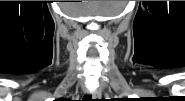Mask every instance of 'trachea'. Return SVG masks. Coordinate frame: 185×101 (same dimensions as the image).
Masks as SVG:
<instances>
[{"label":"trachea","mask_w":185,"mask_h":101,"mask_svg":"<svg viewBox=\"0 0 185 101\" xmlns=\"http://www.w3.org/2000/svg\"><path fill=\"white\" fill-rule=\"evenodd\" d=\"M85 99H90V97H86Z\"/></svg>","instance_id":"1"}]
</instances>
